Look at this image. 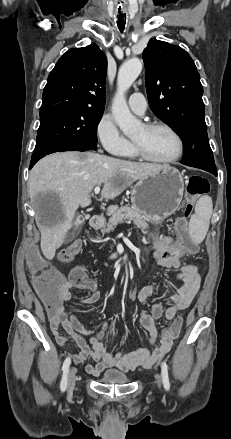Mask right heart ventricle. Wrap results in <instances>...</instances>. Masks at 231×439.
<instances>
[{
  "label": "right heart ventricle",
  "instance_id": "obj_1",
  "mask_svg": "<svg viewBox=\"0 0 231 439\" xmlns=\"http://www.w3.org/2000/svg\"><path fill=\"white\" fill-rule=\"evenodd\" d=\"M126 155L131 157V158H134V157L137 156L132 145H131V147H130V149H129V151H128V153Z\"/></svg>",
  "mask_w": 231,
  "mask_h": 439
}]
</instances>
